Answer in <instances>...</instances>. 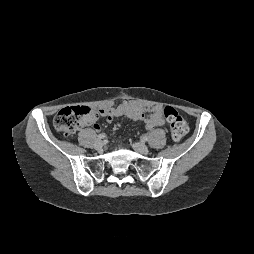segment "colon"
Instances as JSON below:
<instances>
[{
	"mask_svg": "<svg viewBox=\"0 0 254 254\" xmlns=\"http://www.w3.org/2000/svg\"><path fill=\"white\" fill-rule=\"evenodd\" d=\"M163 115L169 124L174 140H181L188 133L185 118L172 106L163 108ZM98 118V112L87 106L79 105L60 110L54 117V127L65 136L74 135L85 124H90Z\"/></svg>",
	"mask_w": 254,
	"mask_h": 254,
	"instance_id": "1",
	"label": "colon"
}]
</instances>
